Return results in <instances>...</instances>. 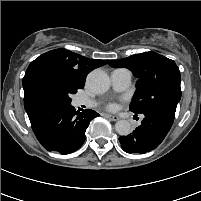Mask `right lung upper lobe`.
I'll list each match as a JSON object with an SVG mask.
<instances>
[{"label":"right lung upper lobe","mask_w":201,"mask_h":201,"mask_svg":"<svg viewBox=\"0 0 201 201\" xmlns=\"http://www.w3.org/2000/svg\"><path fill=\"white\" fill-rule=\"evenodd\" d=\"M105 64L104 60L88 59L63 48L46 52L32 61L26 70L23 78L24 97L34 92L32 81L39 72L45 69L57 72L81 89L84 87L87 74Z\"/></svg>","instance_id":"1"}]
</instances>
